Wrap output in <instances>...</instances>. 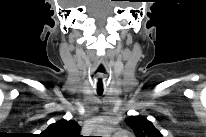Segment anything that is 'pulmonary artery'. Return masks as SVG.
I'll return each mask as SVG.
<instances>
[{
	"mask_svg": "<svg viewBox=\"0 0 206 137\" xmlns=\"http://www.w3.org/2000/svg\"><path fill=\"white\" fill-rule=\"evenodd\" d=\"M113 137H128L126 132H117Z\"/></svg>",
	"mask_w": 206,
	"mask_h": 137,
	"instance_id": "pulmonary-artery-1",
	"label": "pulmonary artery"
}]
</instances>
